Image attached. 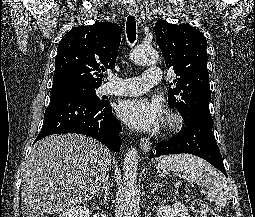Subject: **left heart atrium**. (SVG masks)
Segmentation results:
<instances>
[{
  "label": "left heart atrium",
  "mask_w": 255,
  "mask_h": 217,
  "mask_svg": "<svg viewBox=\"0 0 255 217\" xmlns=\"http://www.w3.org/2000/svg\"><path fill=\"white\" fill-rule=\"evenodd\" d=\"M118 113L128 126L142 132L158 130L164 120L161 104L148 98L126 100L119 106Z\"/></svg>",
  "instance_id": "1"
}]
</instances>
